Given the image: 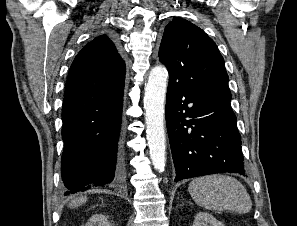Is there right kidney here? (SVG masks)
<instances>
[{"mask_svg":"<svg viewBox=\"0 0 297 226\" xmlns=\"http://www.w3.org/2000/svg\"><path fill=\"white\" fill-rule=\"evenodd\" d=\"M85 226H110V223L106 216L95 214L88 220Z\"/></svg>","mask_w":297,"mask_h":226,"instance_id":"ca27d5eb","label":"right kidney"}]
</instances>
